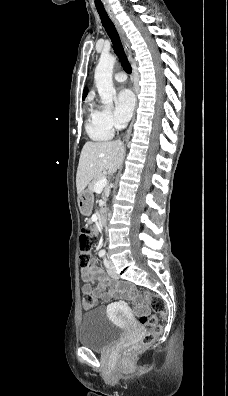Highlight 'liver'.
I'll return each instance as SVG.
<instances>
[{
  "label": "liver",
  "instance_id": "liver-1",
  "mask_svg": "<svg viewBox=\"0 0 228 396\" xmlns=\"http://www.w3.org/2000/svg\"><path fill=\"white\" fill-rule=\"evenodd\" d=\"M124 155L125 147L119 140L86 142L82 148L77 169L78 195L102 171L107 170L110 174L115 173L122 164Z\"/></svg>",
  "mask_w": 228,
  "mask_h": 396
}]
</instances>
